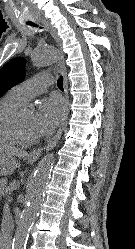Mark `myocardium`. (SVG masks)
Listing matches in <instances>:
<instances>
[{
    "instance_id": "myocardium-1",
    "label": "myocardium",
    "mask_w": 135,
    "mask_h": 249,
    "mask_svg": "<svg viewBox=\"0 0 135 249\" xmlns=\"http://www.w3.org/2000/svg\"><path fill=\"white\" fill-rule=\"evenodd\" d=\"M23 110H24L23 108H19L13 113L10 119L11 128L21 143L24 144L36 143L39 140V137L38 136L31 137L26 135L21 127L20 118Z\"/></svg>"
}]
</instances>
